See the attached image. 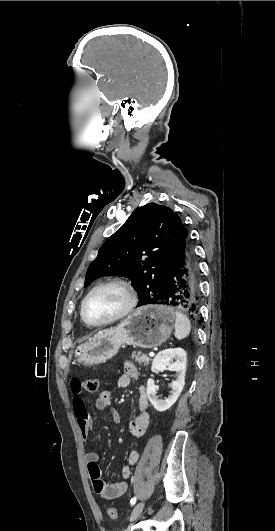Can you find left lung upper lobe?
Returning <instances> with one entry per match:
<instances>
[{
    "label": "left lung upper lobe",
    "instance_id": "left-lung-upper-lobe-1",
    "mask_svg": "<svg viewBox=\"0 0 275 531\" xmlns=\"http://www.w3.org/2000/svg\"><path fill=\"white\" fill-rule=\"evenodd\" d=\"M187 237L181 218L169 207L155 203L138 207L101 246L84 286L105 275L125 276L139 295L137 306L154 304L165 293Z\"/></svg>",
    "mask_w": 275,
    "mask_h": 531
}]
</instances>
